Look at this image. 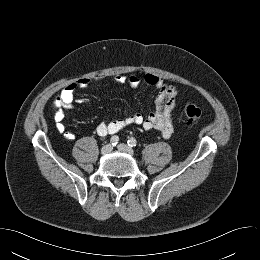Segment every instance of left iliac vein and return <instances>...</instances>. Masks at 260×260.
Here are the masks:
<instances>
[{"label": "left iliac vein", "mask_w": 260, "mask_h": 260, "mask_svg": "<svg viewBox=\"0 0 260 260\" xmlns=\"http://www.w3.org/2000/svg\"><path fill=\"white\" fill-rule=\"evenodd\" d=\"M117 148H118V150H120V151H122V152H126V153H128V154H130V155H133V150H132V148H130L129 146H127L126 144H119L118 146H117Z\"/></svg>", "instance_id": "left-iliac-vein-1"}]
</instances>
